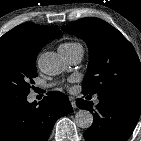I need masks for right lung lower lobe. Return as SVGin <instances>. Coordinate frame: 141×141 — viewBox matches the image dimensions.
Masks as SVG:
<instances>
[{"instance_id": "1", "label": "right lung lower lobe", "mask_w": 141, "mask_h": 141, "mask_svg": "<svg viewBox=\"0 0 141 141\" xmlns=\"http://www.w3.org/2000/svg\"><path fill=\"white\" fill-rule=\"evenodd\" d=\"M26 97L0 95V141H47L57 119L72 111L61 92H49L39 105Z\"/></svg>"}]
</instances>
